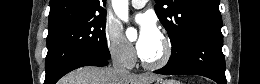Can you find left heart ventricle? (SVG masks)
I'll list each match as a JSON object with an SVG mask.
<instances>
[{
  "label": "left heart ventricle",
  "mask_w": 260,
  "mask_h": 84,
  "mask_svg": "<svg viewBox=\"0 0 260 84\" xmlns=\"http://www.w3.org/2000/svg\"><path fill=\"white\" fill-rule=\"evenodd\" d=\"M162 51H163V45L160 38L156 43V45L152 48V50L148 52L145 56H143V58L148 61L157 60L162 55Z\"/></svg>",
  "instance_id": "obj_1"
}]
</instances>
